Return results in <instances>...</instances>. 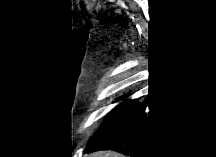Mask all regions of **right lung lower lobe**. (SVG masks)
<instances>
[{
  "label": "right lung lower lobe",
  "instance_id": "obj_1",
  "mask_svg": "<svg viewBox=\"0 0 216 157\" xmlns=\"http://www.w3.org/2000/svg\"><path fill=\"white\" fill-rule=\"evenodd\" d=\"M158 129L144 100L135 99L119 124L85 152L113 150L130 157H157Z\"/></svg>",
  "mask_w": 216,
  "mask_h": 157
}]
</instances>
